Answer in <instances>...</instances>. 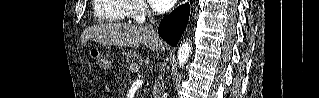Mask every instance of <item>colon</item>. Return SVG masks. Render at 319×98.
<instances>
[{
	"instance_id": "5ec220e1",
	"label": "colon",
	"mask_w": 319,
	"mask_h": 98,
	"mask_svg": "<svg viewBox=\"0 0 319 98\" xmlns=\"http://www.w3.org/2000/svg\"><path fill=\"white\" fill-rule=\"evenodd\" d=\"M91 57L93 58L94 62L99 68L101 69L107 68L108 61L96 49H93L91 51Z\"/></svg>"
}]
</instances>
